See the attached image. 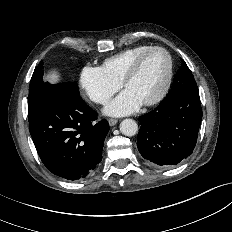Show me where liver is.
<instances>
[{
	"label": "liver",
	"instance_id": "obj_1",
	"mask_svg": "<svg viewBox=\"0 0 232 232\" xmlns=\"http://www.w3.org/2000/svg\"><path fill=\"white\" fill-rule=\"evenodd\" d=\"M47 80L53 84L58 83L61 80V74L54 69L48 73Z\"/></svg>",
	"mask_w": 232,
	"mask_h": 232
}]
</instances>
